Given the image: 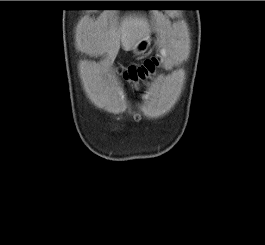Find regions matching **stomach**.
I'll return each instance as SVG.
<instances>
[{
    "mask_svg": "<svg viewBox=\"0 0 265 245\" xmlns=\"http://www.w3.org/2000/svg\"><path fill=\"white\" fill-rule=\"evenodd\" d=\"M151 42L150 38H147L145 40H143L142 42H140L137 47L134 49L135 53H143L147 50V48L149 47Z\"/></svg>",
    "mask_w": 265,
    "mask_h": 245,
    "instance_id": "1",
    "label": "stomach"
}]
</instances>
